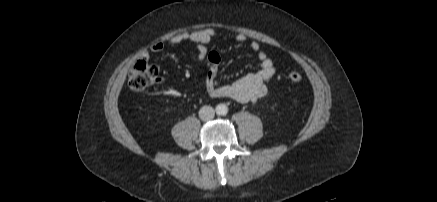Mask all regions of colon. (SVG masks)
I'll return each instance as SVG.
<instances>
[{
    "mask_svg": "<svg viewBox=\"0 0 437 202\" xmlns=\"http://www.w3.org/2000/svg\"><path fill=\"white\" fill-rule=\"evenodd\" d=\"M288 79L296 83L301 81L302 75L297 71H292L288 74ZM159 80V68L145 60H139L130 70L128 86L133 92H141Z\"/></svg>",
    "mask_w": 437,
    "mask_h": 202,
    "instance_id": "5ec220e1",
    "label": "colon"
}]
</instances>
